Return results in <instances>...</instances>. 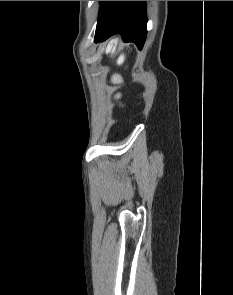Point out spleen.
<instances>
[{"mask_svg": "<svg viewBox=\"0 0 233 295\" xmlns=\"http://www.w3.org/2000/svg\"><path fill=\"white\" fill-rule=\"evenodd\" d=\"M112 44H114V47L112 49V53H113L115 51V49H116L117 40H113ZM109 50H110V47L108 46L107 49H106V52H108ZM123 59H124V57L120 56V58L118 59V63H121L123 61Z\"/></svg>", "mask_w": 233, "mask_h": 295, "instance_id": "1", "label": "spleen"}]
</instances>
